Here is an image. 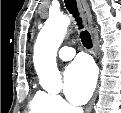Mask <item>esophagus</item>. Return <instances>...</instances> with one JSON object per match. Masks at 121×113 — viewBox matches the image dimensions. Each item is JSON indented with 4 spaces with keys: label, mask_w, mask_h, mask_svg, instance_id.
I'll list each match as a JSON object with an SVG mask.
<instances>
[{
    "label": "esophagus",
    "mask_w": 121,
    "mask_h": 113,
    "mask_svg": "<svg viewBox=\"0 0 121 113\" xmlns=\"http://www.w3.org/2000/svg\"><path fill=\"white\" fill-rule=\"evenodd\" d=\"M77 5H78L79 11H80V13L83 17L84 24L86 25V27L88 29H91V27H92V16H91V12H90L87 1L86 0H77ZM91 35H92V38H93L94 48L96 49V42H95V37H94L93 32H92ZM96 96H97V93L94 94L90 103L88 104V106L86 108L87 113H89L91 111L92 106H93V104L96 100Z\"/></svg>",
    "instance_id": "1"
}]
</instances>
